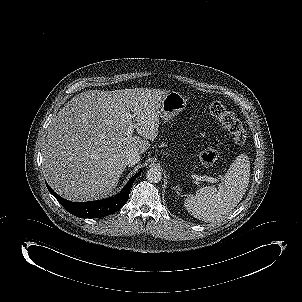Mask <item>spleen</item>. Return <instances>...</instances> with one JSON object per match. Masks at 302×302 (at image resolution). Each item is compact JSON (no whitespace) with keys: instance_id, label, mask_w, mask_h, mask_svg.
Instances as JSON below:
<instances>
[{"instance_id":"3e777b00","label":"spleen","mask_w":302,"mask_h":302,"mask_svg":"<svg viewBox=\"0 0 302 302\" xmlns=\"http://www.w3.org/2000/svg\"><path fill=\"white\" fill-rule=\"evenodd\" d=\"M250 164L241 155L230 165L223 181L216 186H206L189 195L184 201L186 210L205 222L219 220L234 209L243 198L249 183Z\"/></svg>"}]
</instances>
